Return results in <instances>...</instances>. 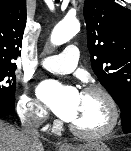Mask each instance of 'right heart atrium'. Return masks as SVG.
I'll return each mask as SVG.
<instances>
[{"label": "right heart atrium", "instance_id": "right-heart-atrium-1", "mask_svg": "<svg viewBox=\"0 0 131 151\" xmlns=\"http://www.w3.org/2000/svg\"><path fill=\"white\" fill-rule=\"evenodd\" d=\"M17 110L23 121L38 126H43L47 119L46 109L27 92H23L19 97Z\"/></svg>", "mask_w": 131, "mask_h": 151}]
</instances>
